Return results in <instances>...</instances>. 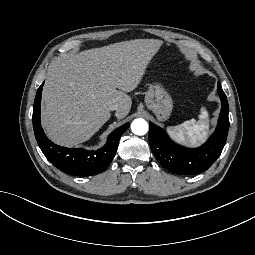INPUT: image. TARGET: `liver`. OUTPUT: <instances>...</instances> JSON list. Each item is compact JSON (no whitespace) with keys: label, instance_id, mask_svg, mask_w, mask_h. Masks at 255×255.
I'll use <instances>...</instances> for the list:
<instances>
[{"label":"liver","instance_id":"liver-1","mask_svg":"<svg viewBox=\"0 0 255 255\" xmlns=\"http://www.w3.org/2000/svg\"><path fill=\"white\" fill-rule=\"evenodd\" d=\"M163 42L141 39L73 54L52 63L43 89L42 120L50 137L72 146L89 140L119 104L122 119L131 109L126 94L141 83Z\"/></svg>","mask_w":255,"mask_h":255}]
</instances>
